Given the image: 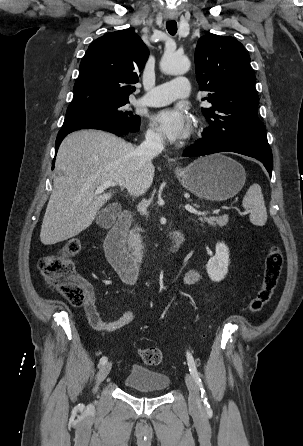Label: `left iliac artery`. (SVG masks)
<instances>
[{
	"label": "left iliac artery",
	"instance_id": "obj_1",
	"mask_svg": "<svg viewBox=\"0 0 303 446\" xmlns=\"http://www.w3.org/2000/svg\"><path fill=\"white\" fill-rule=\"evenodd\" d=\"M187 362H188L189 371H190L192 377L194 378L196 384L198 385V387H199V389L201 391V395H202V398H203L205 409L207 410V412H210L211 409H210V405H209L208 399L206 397V393H205V389H204L203 384H202V380H201V378L199 376V373L197 371L194 359H193L191 353L188 352V351H187Z\"/></svg>",
	"mask_w": 303,
	"mask_h": 446
}]
</instances>
